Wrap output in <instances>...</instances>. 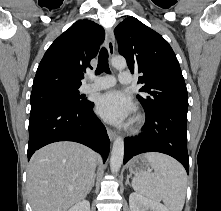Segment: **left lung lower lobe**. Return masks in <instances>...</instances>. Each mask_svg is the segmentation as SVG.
<instances>
[{
  "instance_id": "left-lung-lower-lobe-1",
  "label": "left lung lower lobe",
  "mask_w": 221,
  "mask_h": 211,
  "mask_svg": "<svg viewBox=\"0 0 221 211\" xmlns=\"http://www.w3.org/2000/svg\"><path fill=\"white\" fill-rule=\"evenodd\" d=\"M187 108L168 107L146 112V122L139 136L125 138V164L145 152H161L174 157L189 172L187 152Z\"/></svg>"
}]
</instances>
